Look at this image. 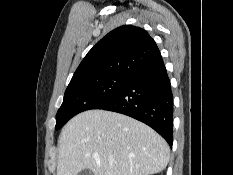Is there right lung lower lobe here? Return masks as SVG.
Instances as JSON below:
<instances>
[{
    "label": "right lung lower lobe",
    "mask_w": 233,
    "mask_h": 175,
    "mask_svg": "<svg viewBox=\"0 0 233 175\" xmlns=\"http://www.w3.org/2000/svg\"><path fill=\"white\" fill-rule=\"evenodd\" d=\"M96 109L133 117L157 131L172 147L173 95L162 59L133 75L113 98Z\"/></svg>",
    "instance_id": "obj_1"
}]
</instances>
